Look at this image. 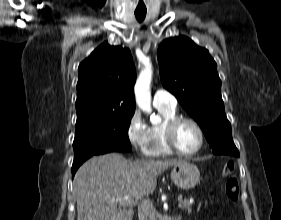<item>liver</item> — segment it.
I'll list each match as a JSON object with an SVG mask.
<instances>
[{"instance_id": "obj_1", "label": "liver", "mask_w": 281, "mask_h": 220, "mask_svg": "<svg viewBox=\"0 0 281 220\" xmlns=\"http://www.w3.org/2000/svg\"><path fill=\"white\" fill-rule=\"evenodd\" d=\"M180 163L177 160L130 162L118 153L89 159L74 177L77 220H132L133 207L153 193L156 177ZM125 196L130 199L117 201Z\"/></svg>"}]
</instances>
